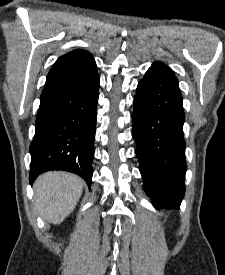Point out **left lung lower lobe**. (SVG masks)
<instances>
[{
	"instance_id": "1",
	"label": "left lung lower lobe",
	"mask_w": 225,
	"mask_h": 275,
	"mask_svg": "<svg viewBox=\"0 0 225 275\" xmlns=\"http://www.w3.org/2000/svg\"><path fill=\"white\" fill-rule=\"evenodd\" d=\"M178 81L149 69L134 99L133 131L144 190L156 208H179L186 171Z\"/></svg>"
}]
</instances>
